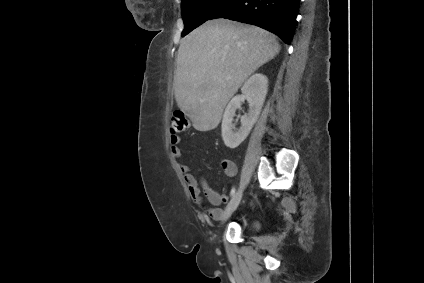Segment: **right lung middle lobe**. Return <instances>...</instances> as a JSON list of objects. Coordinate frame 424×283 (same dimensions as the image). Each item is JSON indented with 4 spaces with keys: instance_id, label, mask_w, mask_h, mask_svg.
Masks as SVG:
<instances>
[{
    "instance_id": "obj_1",
    "label": "right lung middle lobe",
    "mask_w": 424,
    "mask_h": 283,
    "mask_svg": "<svg viewBox=\"0 0 424 283\" xmlns=\"http://www.w3.org/2000/svg\"><path fill=\"white\" fill-rule=\"evenodd\" d=\"M228 0H182L181 12L184 21L182 36L187 35L219 10Z\"/></svg>"
}]
</instances>
